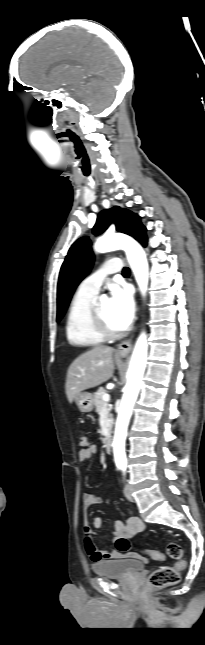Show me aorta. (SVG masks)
<instances>
[{
  "label": "aorta",
  "instance_id": "762f6f07",
  "mask_svg": "<svg viewBox=\"0 0 205 645\" xmlns=\"http://www.w3.org/2000/svg\"><path fill=\"white\" fill-rule=\"evenodd\" d=\"M94 248L99 253H106L116 249L124 250L140 291L143 296L146 294L149 278L148 262L143 248L135 240L120 234L105 235L96 241ZM147 353V336L145 332H142L132 353L127 372V384L124 388L116 421L113 439V453L116 464H126L127 461L125 453L127 428L140 390L146 367Z\"/></svg>",
  "mask_w": 205,
  "mask_h": 645
}]
</instances>
